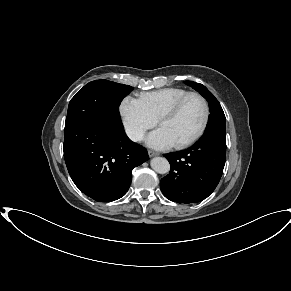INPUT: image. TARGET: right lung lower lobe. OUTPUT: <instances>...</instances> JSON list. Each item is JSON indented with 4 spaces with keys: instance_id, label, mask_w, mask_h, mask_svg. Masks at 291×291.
Listing matches in <instances>:
<instances>
[{
    "instance_id": "obj_1",
    "label": "right lung lower lobe",
    "mask_w": 291,
    "mask_h": 291,
    "mask_svg": "<svg viewBox=\"0 0 291 291\" xmlns=\"http://www.w3.org/2000/svg\"><path fill=\"white\" fill-rule=\"evenodd\" d=\"M64 158L75 185L98 202L125 195L132 169L149 159L147 150L124 132L120 116L85 124L65 122Z\"/></svg>"
}]
</instances>
